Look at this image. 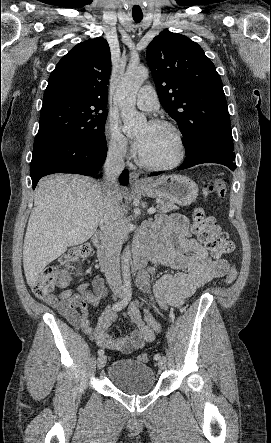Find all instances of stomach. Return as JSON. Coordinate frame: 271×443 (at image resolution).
Returning <instances> with one entry per match:
<instances>
[{
  "label": "stomach",
  "mask_w": 271,
  "mask_h": 443,
  "mask_svg": "<svg viewBox=\"0 0 271 443\" xmlns=\"http://www.w3.org/2000/svg\"><path fill=\"white\" fill-rule=\"evenodd\" d=\"M139 188L147 198H163L179 206H190L198 196V186L187 176H162L153 182H142Z\"/></svg>",
  "instance_id": "obj_1"
}]
</instances>
